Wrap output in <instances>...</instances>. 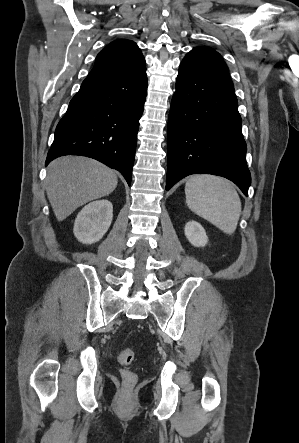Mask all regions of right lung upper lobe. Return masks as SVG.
Wrapping results in <instances>:
<instances>
[{
    "instance_id": "1",
    "label": "right lung upper lobe",
    "mask_w": 299,
    "mask_h": 443,
    "mask_svg": "<svg viewBox=\"0 0 299 443\" xmlns=\"http://www.w3.org/2000/svg\"><path fill=\"white\" fill-rule=\"evenodd\" d=\"M146 70L145 59L137 44L118 39L98 53L88 77H109L138 74Z\"/></svg>"
}]
</instances>
